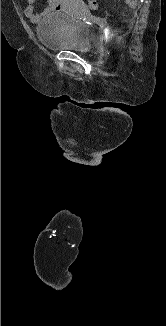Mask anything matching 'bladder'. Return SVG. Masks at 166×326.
I'll use <instances>...</instances> for the list:
<instances>
[{"instance_id": "1", "label": "bladder", "mask_w": 166, "mask_h": 326, "mask_svg": "<svg viewBox=\"0 0 166 326\" xmlns=\"http://www.w3.org/2000/svg\"><path fill=\"white\" fill-rule=\"evenodd\" d=\"M79 9L85 10L83 5ZM40 43L48 50L87 53L91 49V32L79 18L64 12L47 13L36 25Z\"/></svg>"}]
</instances>
